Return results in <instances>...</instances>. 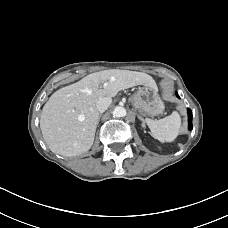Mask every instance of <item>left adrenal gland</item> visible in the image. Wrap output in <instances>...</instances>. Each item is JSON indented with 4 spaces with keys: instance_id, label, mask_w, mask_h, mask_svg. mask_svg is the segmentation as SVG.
I'll return each instance as SVG.
<instances>
[{
    "instance_id": "obj_1",
    "label": "left adrenal gland",
    "mask_w": 228,
    "mask_h": 228,
    "mask_svg": "<svg viewBox=\"0 0 228 228\" xmlns=\"http://www.w3.org/2000/svg\"><path fill=\"white\" fill-rule=\"evenodd\" d=\"M141 121H142V126L145 127V121L142 117H140Z\"/></svg>"
}]
</instances>
